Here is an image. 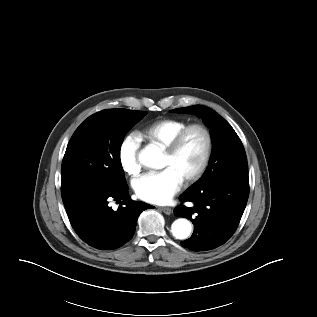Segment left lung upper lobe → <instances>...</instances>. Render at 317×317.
Wrapping results in <instances>:
<instances>
[{
	"mask_svg": "<svg viewBox=\"0 0 317 317\" xmlns=\"http://www.w3.org/2000/svg\"><path fill=\"white\" fill-rule=\"evenodd\" d=\"M180 113L196 114L211 128L213 150L209 166L204 175L190 188H198L207 184L221 182L233 176H247V158L243 144L231 127L214 110L203 106L178 108Z\"/></svg>",
	"mask_w": 317,
	"mask_h": 317,
	"instance_id": "5c2ea615",
	"label": "left lung upper lobe"
}]
</instances>
